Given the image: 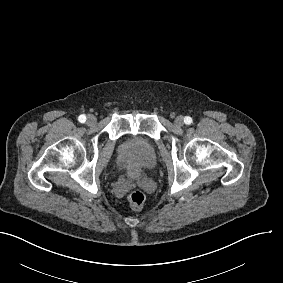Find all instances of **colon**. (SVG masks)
I'll use <instances>...</instances> for the list:
<instances>
[{"mask_svg":"<svg viewBox=\"0 0 283 283\" xmlns=\"http://www.w3.org/2000/svg\"><path fill=\"white\" fill-rule=\"evenodd\" d=\"M146 200L147 196L141 189H135L128 195L129 204L136 209L141 208Z\"/></svg>","mask_w":283,"mask_h":283,"instance_id":"obj_1","label":"colon"}]
</instances>
